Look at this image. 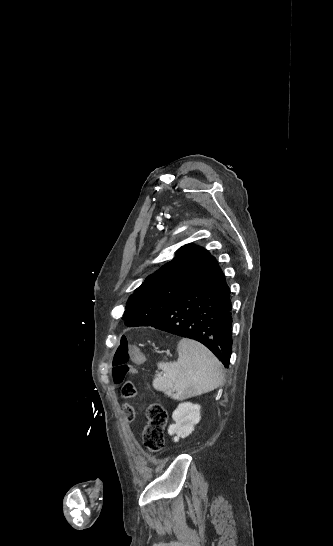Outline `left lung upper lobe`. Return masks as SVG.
<instances>
[{"instance_id":"obj_1","label":"left lung upper lobe","mask_w":333,"mask_h":546,"mask_svg":"<svg viewBox=\"0 0 333 546\" xmlns=\"http://www.w3.org/2000/svg\"><path fill=\"white\" fill-rule=\"evenodd\" d=\"M210 256L201 247L182 246L172 261L147 277L129 297L123 319L135 315L141 325L154 323L160 311L189 288Z\"/></svg>"}]
</instances>
